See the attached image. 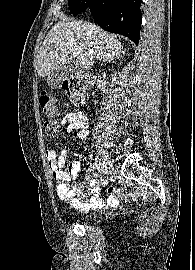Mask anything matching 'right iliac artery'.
<instances>
[{
	"label": "right iliac artery",
	"mask_w": 195,
	"mask_h": 270,
	"mask_svg": "<svg viewBox=\"0 0 195 270\" xmlns=\"http://www.w3.org/2000/svg\"><path fill=\"white\" fill-rule=\"evenodd\" d=\"M99 165H100V163H99V159L98 158H96L95 159V163H94V167H93V172H94V170H96V169H98L99 168ZM93 181V180H92Z\"/></svg>",
	"instance_id": "82829eb1"
}]
</instances>
